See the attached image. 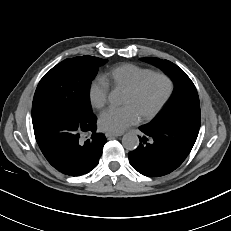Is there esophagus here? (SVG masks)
<instances>
[{"instance_id": "esophagus-1", "label": "esophagus", "mask_w": 231, "mask_h": 231, "mask_svg": "<svg viewBox=\"0 0 231 231\" xmlns=\"http://www.w3.org/2000/svg\"><path fill=\"white\" fill-rule=\"evenodd\" d=\"M122 135H123V133H112V132H107L105 134V136L107 138L119 137V136H122Z\"/></svg>"}]
</instances>
